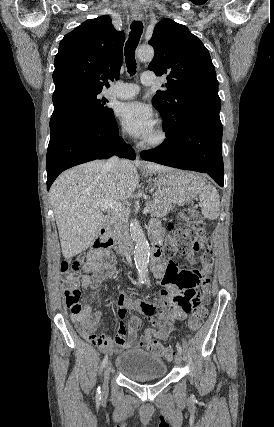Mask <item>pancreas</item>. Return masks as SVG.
<instances>
[{
  "instance_id": "cf45deb5",
  "label": "pancreas",
  "mask_w": 274,
  "mask_h": 427,
  "mask_svg": "<svg viewBox=\"0 0 274 427\" xmlns=\"http://www.w3.org/2000/svg\"><path fill=\"white\" fill-rule=\"evenodd\" d=\"M145 204L149 206V214H151L152 217H164V215L169 214L174 208L170 200L161 198V196H155L153 200H149V202H145ZM129 214V210H125V212H116V214L111 217L113 223H110V227H108L106 231L107 235H110V237H113L116 241H121L123 237H128L127 225Z\"/></svg>"
}]
</instances>
